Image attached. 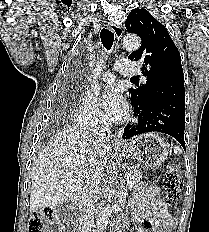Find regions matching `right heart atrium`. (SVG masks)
I'll return each mask as SVG.
<instances>
[{"label":"right heart atrium","instance_id":"obj_1","mask_svg":"<svg viewBox=\"0 0 209 232\" xmlns=\"http://www.w3.org/2000/svg\"><path fill=\"white\" fill-rule=\"evenodd\" d=\"M75 124L84 130H97L106 125L104 115L98 109L95 101L89 97L84 96L80 100L74 112Z\"/></svg>","mask_w":209,"mask_h":232}]
</instances>
